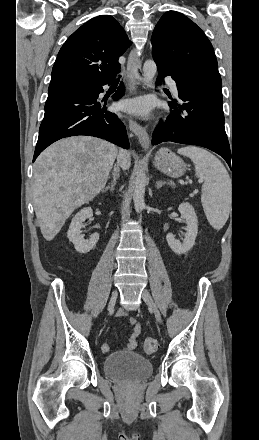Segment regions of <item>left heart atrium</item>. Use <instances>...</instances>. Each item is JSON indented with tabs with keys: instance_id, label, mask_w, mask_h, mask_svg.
Returning <instances> with one entry per match:
<instances>
[{
	"instance_id": "left-heart-atrium-1",
	"label": "left heart atrium",
	"mask_w": 259,
	"mask_h": 440,
	"mask_svg": "<svg viewBox=\"0 0 259 440\" xmlns=\"http://www.w3.org/2000/svg\"><path fill=\"white\" fill-rule=\"evenodd\" d=\"M124 111L134 113L137 115H146L151 109V104L148 99L139 97L131 100H125L120 104Z\"/></svg>"
}]
</instances>
